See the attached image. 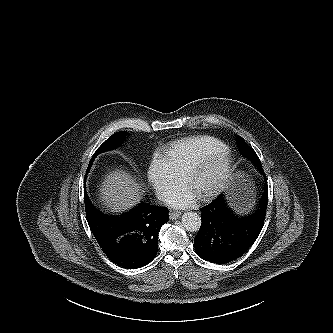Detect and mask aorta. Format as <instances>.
I'll use <instances>...</instances> for the list:
<instances>
[{
    "mask_svg": "<svg viewBox=\"0 0 333 333\" xmlns=\"http://www.w3.org/2000/svg\"><path fill=\"white\" fill-rule=\"evenodd\" d=\"M182 225L186 231L197 232L201 226V217L196 212H186L182 216Z\"/></svg>",
    "mask_w": 333,
    "mask_h": 333,
    "instance_id": "762f6f07",
    "label": "aorta"
}]
</instances>
